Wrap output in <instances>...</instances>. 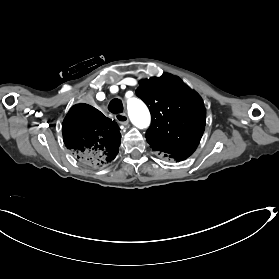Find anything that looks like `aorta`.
<instances>
[{
    "label": "aorta",
    "instance_id": "1",
    "mask_svg": "<svg viewBox=\"0 0 279 279\" xmlns=\"http://www.w3.org/2000/svg\"><path fill=\"white\" fill-rule=\"evenodd\" d=\"M128 115L131 122L143 129L150 124V113L146 105L137 98H131L127 102Z\"/></svg>",
    "mask_w": 279,
    "mask_h": 279
}]
</instances>
